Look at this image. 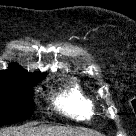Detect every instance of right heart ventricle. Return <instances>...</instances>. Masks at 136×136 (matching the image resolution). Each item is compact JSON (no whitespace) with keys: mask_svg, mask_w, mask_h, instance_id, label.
Instances as JSON below:
<instances>
[{"mask_svg":"<svg viewBox=\"0 0 136 136\" xmlns=\"http://www.w3.org/2000/svg\"><path fill=\"white\" fill-rule=\"evenodd\" d=\"M55 105L64 114L79 120L89 119L95 109L93 99L76 82L69 83L57 93Z\"/></svg>","mask_w":136,"mask_h":136,"instance_id":"1","label":"right heart ventricle"}]
</instances>
